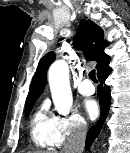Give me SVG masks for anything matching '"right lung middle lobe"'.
<instances>
[{
  "label": "right lung middle lobe",
  "instance_id": "right-lung-middle-lobe-1",
  "mask_svg": "<svg viewBox=\"0 0 130 153\" xmlns=\"http://www.w3.org/2000/svg\"><path fill=\"white\" fill-rule=\"evenodd\" d=\"M34 103H35V102L26 104V106H25V116H29L30 111H31V109H32V107H33V105H34Z\"/></svg>",
  "mask_w": 130,
  "mask_h": 153
}]
</instances>
